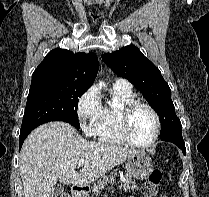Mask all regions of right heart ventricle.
<instances>
[{
    "label": "right heart ventricle",
    "mask_w": 209,
    "mask_h": 197,
    "mask_svg": "<svg viewBox=\"0 0 209 197\" xmlns=\"http://www.w3.org/2000/svg\"><path fill=\"white\" fill-rule=\"evenodd\" d=\"M135 95L131 87L112 88V101L102 109V117L97 133L99 140L112 144H126L120 129L119 111L122 105L134 99Z\"/></svg>",
    "instance_id": "right-heart-ventricle-1"
}]
</instances>
